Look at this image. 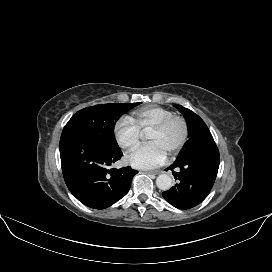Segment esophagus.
<instances>
[{"mask_svg":"<svg viewBox=\"0 0 272 272\" xmlns=\"http://www.w3.org/2000/svg\"><path fill=\"white\" fill-rule=\"evenodd\" d=\"M146 174H154V175H158L161 174L162 171L161 170H154V171H146Z\"/></svg>","mask_w":272,"mask_h":272,"instance_id":"obj_1","label":"esophagus"}]
</instances>
